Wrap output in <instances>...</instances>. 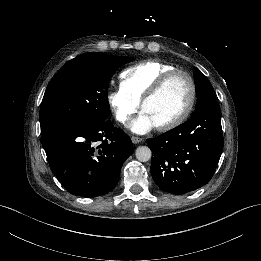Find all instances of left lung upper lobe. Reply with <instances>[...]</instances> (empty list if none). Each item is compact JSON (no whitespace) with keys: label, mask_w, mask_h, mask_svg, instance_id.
<instances>
[{"label":"left lung upper lobe","mask_w":261,"mask_h":261,"mask_svg":"<svg viewBox=\"0 0 261 261\" xmlns=\"http://www.w3.org/2000/svg\"><path fill=\"white\" fill-rule=\"evenodd\" d=\"M195 78V90L197 94V105L194 113L206 107L217 106L215 92L206 76L196 67L193 68Z\"/></svg>","instance_id":"obj_1"}]
</instances>
